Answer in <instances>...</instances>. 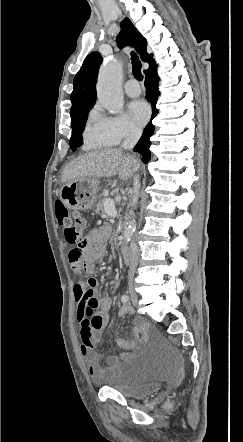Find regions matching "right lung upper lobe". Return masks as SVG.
I'll return each instance as SVG.
<instances>
[{"mask_svg": "<svg viewBox=\"0 0 243 442\" xmlns=\"http://www.w3.org/2000/svg\"><path fill=\"white\" fill-rule=\"evenodd\" d=\"M122 30L117 36V43L120 48L132 44L143 62L152 67L155 62L152 54L146 51V39L140 34L128 18L122 23ZM102 57L99 52L90 53L84 60L82 67L74 78V89L71 94L72 107L70 110L71 123L84 113L89 112L96 101V80ZM146 71V70H145ZM144 71V72H145Z\"/></svg>", "mask_w": 243, "mask_h": 442, "instance_id": "right-lung-upper-lobe-1", "label": "right lung upper lobe"}]
</instances>
